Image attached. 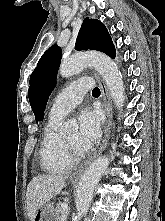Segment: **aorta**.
<instances>
[{"label": "aorta", "instance_id": "1", "mask_svg": "<svg viewBox=\"0 0 165 221\" xmlns=\"http://www.w3.org/2000/svg\"><path fill=\"white\" fill-rule=\"evenodd\" d=\"M87 66H93L105 80L111 98L118 108H122L125 100V88L121 72L116 63L102 53L77 54L62 61L59 74L62 77H70L82 71ZM76 128L72 121L64 123L63 130ZM109 165L108 157H100L95 160L82 175L76 195V209L79 216H85L88 212L93 191Z\"/></svg>", "mask_w": 165, "mask_h": 221}]
</instances>
